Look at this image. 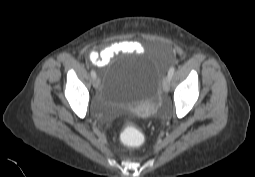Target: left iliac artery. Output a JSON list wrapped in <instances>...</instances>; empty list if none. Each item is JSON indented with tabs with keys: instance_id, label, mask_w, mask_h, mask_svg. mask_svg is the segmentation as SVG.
<instances>
[{
	"instance_id": "44dca946",
	"label": "left iliac artery",
	"mask_w": 255,
	"mask_h": 177,
	"mask_svg": "<svg viewBox=\"0 0 255 177\" xmlns=\"http://www.w3.org/2000/svg\"><path fill=\"white\" fill-rule=\"evenodd\" d=\"M174 71H175V68H174V67H171V68L169 69V71H168V77H169V79L172 78V76H173V74H174Z\"/></svg>"
}]
</instances>
